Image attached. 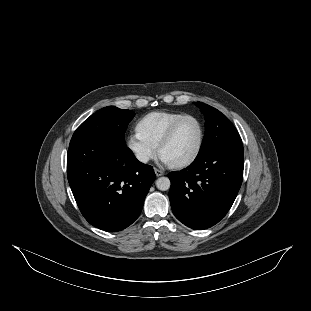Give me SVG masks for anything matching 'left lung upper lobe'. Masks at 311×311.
<instances>
[{
    "mask_svg": "<svg viewBox=\"0 0 311 311\" xmlns=\"http://www.w3.org/2000/svg\"><path fill=\"white\" fill-rule=\"evenodd\" d=\"M195 105L199 106L205 117V136L197 158L221 146L241 141L236 128L224 114L204 103L198 102Z\"/></svg>",
    "mask_w": 311,
    "mask_h": 311,
    "instance_id": "5c2ea615",
    "label": "left lung upper lobe"
}]
</instances>
